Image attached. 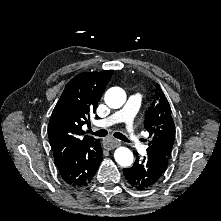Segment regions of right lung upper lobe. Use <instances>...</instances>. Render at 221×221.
<instances>
[{
    "instance_id": "right-lung-upper-lobe-1",
    "label": "right lung upper lobe",
    "mask_w": 221,
    "mask_h": 221,
    "mask_svg": "<svg viewBox=\"0 0 221 221\" xmlns=\"http://www.w3.org/2000/svg\"><path fill=\"white\" fill-rule=\"evenodd\" d=\"M114 71L84 72L71 79L57 102L48 125L55 164H60L80 146L94 140L84 136L82 126L90 123L98 101Z\"/></svg>"
}]
</instances>
